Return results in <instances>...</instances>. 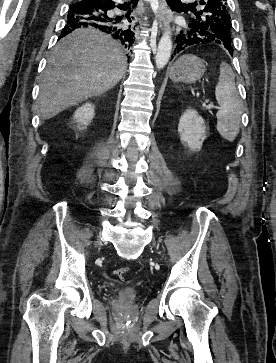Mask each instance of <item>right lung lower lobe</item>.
I'll return each mask as SVG.
<instances>
[{
	"mask_svg": "<svg viewBox=\"0 0 276 363\" xmlns=\"http://www.w3.org/2000/svg\"><path fill=\"white\" fill-rule=\"evenodd\" d=\"M124 6L127 7L129 4L125 3ZM115 7L123 8L122 5H116L114 0H75L69 8L67 24L59 39L77 28L94 27L112 35L123 47L130 49L135 40V33L121 22L120 17L109 15V11ZM130 13L129 10L126 14L128 20Z\"/></svg>",
	"mask_w": 276,
	"mask_h": 363,
	"instance_id": "obj_1",
	"label": "right lung lower lobe"
}]
</instances>
